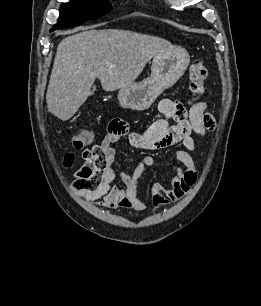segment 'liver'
<instances>
[{"mask_svg": "<svg viewBox=\"0 0 261 306\" xmlns=\"http://www.w3.org/2000/svg\"><path fill=\"white\" fill-rule=\"evenodd\" d=\"M171 46L160 37L119 29H93L64 38L46 93L48 111L69 120L93 94L96 77L105 91L130 85L148 61Z\"/></svg>", "mask_w": 261, "mask_h": 306, "instance_id": "obj_1", "label": "liver"}]
</instances>
